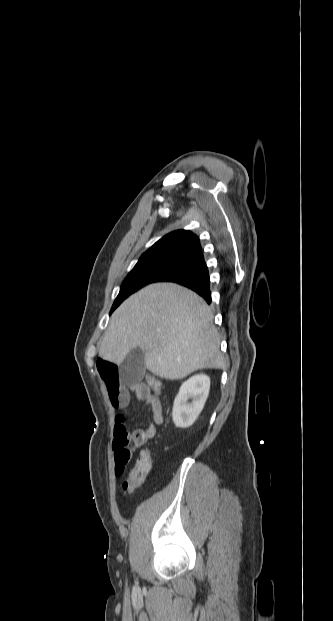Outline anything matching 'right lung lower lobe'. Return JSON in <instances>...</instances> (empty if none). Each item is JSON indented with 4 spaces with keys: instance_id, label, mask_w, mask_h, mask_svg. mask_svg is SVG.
<instances>
[{
    "instance_id": "obj_1",
    "label": "right lung lower lobe",
    "mask_w": 333,
    "mask_h": 621,
    "mask_svg": "<svg viewBox=\"0 0 333 621\" xmlns=\"http://www.w3.org/2000/svg\"><path fill=\"white\" fill-rule=\"evenodd\" d=\"M160 281L183 285L202 296L211 303L209 272L202 251L187 258L176 270L165 275Z\"/></svg>"
}]
</instances>
